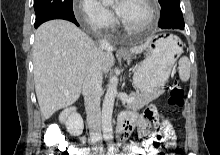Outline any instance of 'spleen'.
I'll return each instance as SVG.
<instances>
[{"label": "spleen", "instance_id": "obj_1", "mask_svg": "<svg viewBox=\"0 0 220 155\" xmlns=\"http://www.w3.org/2000/svg\"><path fill=\"white\" fill-rule=\"evenodd\" d=\"M191 63L188 57L183 56L179 60V78L183 82H187L190 78Z\"/></svg>", "mask_w": 220, "mask_h": 155}]
</instances>
